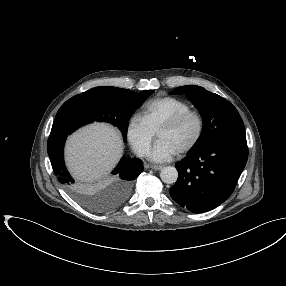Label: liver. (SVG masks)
<instances>
[{
    "label": "liver",
    "mask_w": 286,
    "mask_h": 286,
    "mask_svg": "<svg viewBox=\"0 0 286 286\" xmlns=\"http://www.w3.org/2000/svg\"><path fill=\"white\" fill-rule=\"evenodd\" d=\"M122 152L121 135L109 125L95 123L68 138L65 160L75 178L92 181L107 175L118 163Z\"/></svg>",
    "instance_id": "obj_1"
}]
</instances>
